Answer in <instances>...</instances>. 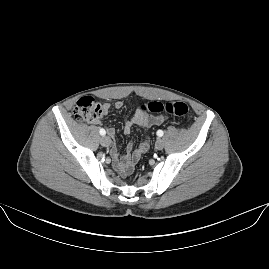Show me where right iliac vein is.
Listing matches in <instances>:
<instances>
[{"mask_svg":"<svg viewBox=\"0 0 269 269\" xmlns=\"http://www.w3.org/2000/svg\"><path fill=\"white\" fill-rule=\"evenodd\" d=\"M100 143L104 147H108L111 144V139L109 136H102L100 139Z\"/></svg>","mask_w":269,"mask_h":269,"instance_id":"obj_1","label":"right iliac vein"}]
</instances>
